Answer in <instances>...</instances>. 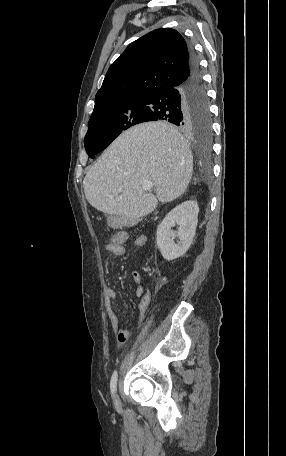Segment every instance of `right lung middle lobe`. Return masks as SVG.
<instances>
[{
	"label": "right lung middle lobe",
	"instance_id": "dd1d6c3e",
	"mask_svg": "<svg viewBox=\"0 0 286 456\" xmlns=\"http://www.w3.org/2000/svg\"><path fill=\"white\" fill-rule=\"evenodd\" d=\"M146 118V107L142 97L135 96L110 103L93 112L89 120L88 132L84 139L85 149L89 157L104 150L122 131L142 123ZM189 129L210 138V115L202 123H197Z\"/></svg>",
	"mask_w": 286,
	"mask_h": 456
}]
</instances>
